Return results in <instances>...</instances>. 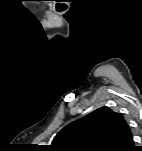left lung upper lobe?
<instances>
[{"label":"left lung upper lobe","instance_id":"obj_1","mask_svg":"<svg viewBox=\"0 0 142 151\" xmlns=\"http://www.w3.org/2000/svg\"><path fill=\"white\" fill-rule=\"evenodd\" d=\"M133 144L121 113L101 107L65 126L54 138L57 151H128Z\"/></svg>","mask_w":142,"mask_h":151}]
</instances>
